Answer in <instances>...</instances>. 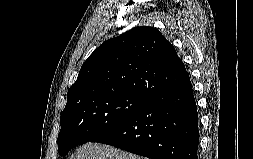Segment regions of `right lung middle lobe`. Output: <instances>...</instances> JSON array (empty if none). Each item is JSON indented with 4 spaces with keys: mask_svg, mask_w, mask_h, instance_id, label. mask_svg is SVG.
<instances>
[{
    "mask_svg": "<svg viewBox=\"0 0 253 159\" xmlns=\"http://www.w3.org/2000/svg\"><path fill=\"white\" fill-rule=\"evenodd\" d=\"M146 101L134 93H99L67 103L60 117L59 155L120 125Z\"/></svg>",
    "mask_w": 253,
    "mask_h": 159,
    "instance_id": "obj_1",
    "label": "right lung middle lobe"
}]
</instances>
